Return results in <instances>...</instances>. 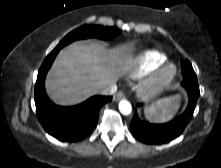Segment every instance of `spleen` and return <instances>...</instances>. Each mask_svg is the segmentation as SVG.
<instances>
[{
	"label": "spleen",
	"mask_w": 221,
	"mask_h": 168,
	"mask_svg": "<svg viewBox=\"0 0 221 168\" xmlns=\"http://www.w3.org/2000/svg\"><path fill=\"white\" fill-rule=\"evenodd\" d=\"M179 98L180 95L168 97L148 106L144 111L146 118L159 122H166L172 119L178 110L177 101Z\"/></svg>",
	"instance_id": "spleen-1"
}]
</instances>
